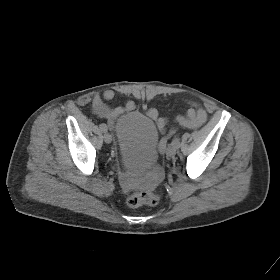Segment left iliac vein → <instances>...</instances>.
<instances>
[{
  "label": "left iliac vein",
  "mask_w": 280,
  "mask_h": 280,
  "mask_svg": "<svg viewBox=\"0 0 280 280\" xmlns=\"http://www.w3.org/2000/svg\"><path fill=\"white\" fill-rule=\"evenodd\" d=\"M176 148L175 147H173V146H169L168 148H167V150H166V154H167V156H169V157H174L175 155H176Z\"/></svg>",
  "instance_id": "left-iliac-vein-1"
}]
</instances>
